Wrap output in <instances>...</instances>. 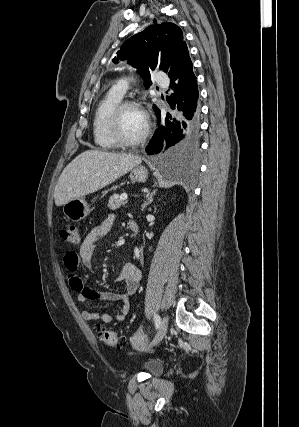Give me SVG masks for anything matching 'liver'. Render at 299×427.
I'll list each match as a JSON object with an SVG mask.
<instances>
[{"label":"liver","mask_w":299,"mask_h":427,"mask_svg":"<svg viewBox=\"0 0 299 427\" xmlns=\"http://www.w3.org/2000/svg\"><path fill=\"white\" fill-rule=\"evenodd\" d=\"M138 155L87 150L63 170L54 190L56 206L96 192L139 165Z\"/></svg>","instance_id":"liver-1"}]
</instances>
